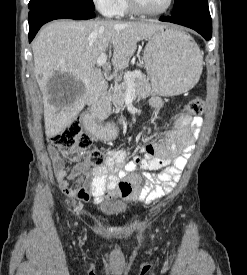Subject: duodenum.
Wrapping results in <instances>:
<instances>
[{"label":"duodenum","instance_id":"1","mask_svg":"<svg viewBox=\"0 0 247 275\" xmlns=\"http://www.w3.org/2000/svg\"><path fill=\"white\" fill-rule=\"evenodd\" d=\"M109 97H110V92L105 91L102 96L100 97L99 102L97 103L95 110H107L109 108ZM91 122V121H90Z\"/></svg>","mask_w":247,"mask_h":275}]
</instances>
